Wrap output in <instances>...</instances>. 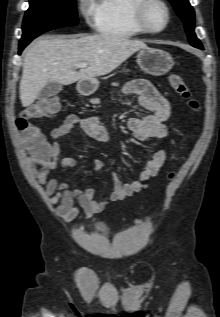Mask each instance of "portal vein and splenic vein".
<instances>
[{"label":"portal vein and splenic vein","mask_w":220,"mask_h":317,"mask_svg":"<svg viewBox=\"0 0 220 317\" xmlns=\"http://www.w3.org/2000/svg\"><path fill=\"white\" fill-rule=\"evenodd\" d=\"M87 66H88L87 63H79V64L76 65L77 68H85Z\"/></svg>","instance_id":"18ae733b"}]
</instances>
